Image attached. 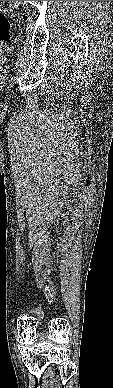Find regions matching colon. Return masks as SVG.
<instances>
[{
  "instance_id": "colon-1",
  "label": "colon",
  "mask_w": 113,
  "mask_h": 388,
  "mask_svg": "<svg viewBox=\"0 0 113 388\" xmlns=\"http://www.w3.org/2000/svg\"><path fill=\"white\" fill-rule=\"evenodd\" d=\"M11 37V24L8 15L0 10V49L3 43L7 42Z\"/></svg>"
}]
</instances>
